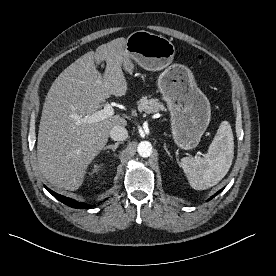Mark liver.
<instances>
[{
  "label": "liver",
  "instance_id": "6515ba94",
  "mask_svg": "<svg viewBox=\"0 0 276 276\" xmlns=\"http://www.w3.org/2000/svg\"><path fill=\"white\" fill-rule=\"evenodd\" d=\"M126 38H116L89 51L59 74L50 87L40 120L37 159L44 178L58 188L79 189L86 170L106 145L114 126L125 127L119 114L88 123L111 95L128 90L122 72ZM106 61L103 77L96 64Z\"/></svg>",
  "mask_w": 276,
  "mask_h": 276
}]
</instances>
